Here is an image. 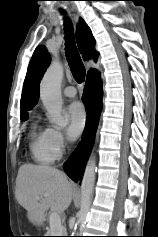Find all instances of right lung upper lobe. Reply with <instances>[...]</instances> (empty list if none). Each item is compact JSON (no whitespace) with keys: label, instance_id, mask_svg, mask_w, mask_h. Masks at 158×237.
<instances>
[{"label":"right lung upper lobe","instance_id":"cb5924a9","mask_svg":"<svg viewBox=\"0 0 158 237\" xmlns=\"http://www.w3.org/2000/svg\"><path fill=\"white\" fill-rule=\"evenodd\" d=\"M76 39L79 50L85 53V60L92 57L97 59L95 52V39L92 36L90 28L80 18V23L76 31ZM51 61L50 55L44 46H38L30 61L27 75L24 83V90L21 97V113L20 117L28 116L27 110H31L39 99V82L42 79L46 68ZM95 70H90L87 75Z\"/></svg>","mask_w":158,"mask_h":237}]
</instances>
